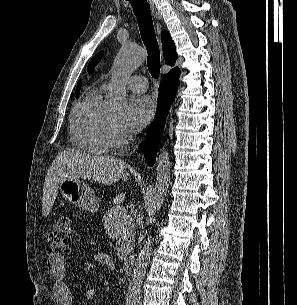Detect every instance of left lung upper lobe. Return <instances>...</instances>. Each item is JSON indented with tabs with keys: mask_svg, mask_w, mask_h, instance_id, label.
<instances>
[{
	"mask_svg": "<svg viewBox=\"0 0 297 305\" xmlns=\"http://www.w3.org/2000/svg\"><path fill=\"white\" fill-rule=\"evenodd\" d=\"M103 55V52H99L92 60L91 62L89 63V66H88V71L89 72H92L94 70V67L97 65V63L99 62V60L101 59Z\"/></svg>",
	"mask_w": 297,
	"mask_h": 305,
	"instance_id": "left-lung-upper-lobe-1",
	"label": "left lung upper lobe"
}]
</instances>
